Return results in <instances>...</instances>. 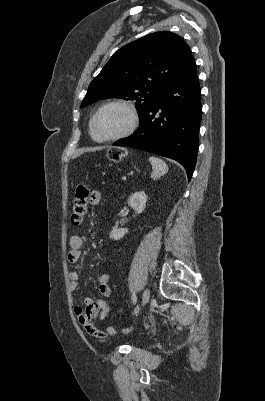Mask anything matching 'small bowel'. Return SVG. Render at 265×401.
I'll use <instances>...</instances> for the list:
<instances>
[{
	"label": "small bowel",
	"instance_id": "obj_1",
	"mask_svg": "<svg viewBox=\"0 0 265 401\" xmlns=\"http://www.w3.org/2000/svg\"><path fill=\"white\" fill-rule=\"evenodd\" d=\"M101 201V194L98 191H93L89 197V203L92 206H96ZM83 238L79 235H73L69 239L70 250L67 255L69 263L75 264L80 260L81 250L83 248ZM70 288L75 290L78 286L79 274L77 271H71L69 273ZM98 290L103 297H109L111 295L110 287V275L108 273H102L97 278ZM85 308L77 305L74 307V313L78 318L81 325L86 328L88 323L92 325L95 318L105 319L109 312L110 307L107 302L103 299H95L93 297H86L84 299ZM106 335L98 338L105 339Z\"/></svg>",
	"mask_w": 265,
	"mask_h": 401
}]
</instances>
